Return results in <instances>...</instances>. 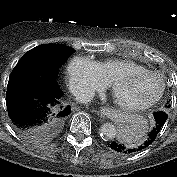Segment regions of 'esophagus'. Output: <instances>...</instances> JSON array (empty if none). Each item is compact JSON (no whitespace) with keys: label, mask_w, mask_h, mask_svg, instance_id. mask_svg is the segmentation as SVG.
<instances>
[{"label":"esophagus","mask_w":177,"mask_h":177,"mask_svg":"<svg viewBox=\"0 0 177 177\" xmlns=\"http://www.w3.org/2000/svg\"><path fill=\"white\" fill-rule=\"evenodd\" d=\"M100 114L101 117H109L112 114V110L108 107H101Z\"/></svg>","instance_id":"34e87169"}]
</instances>
